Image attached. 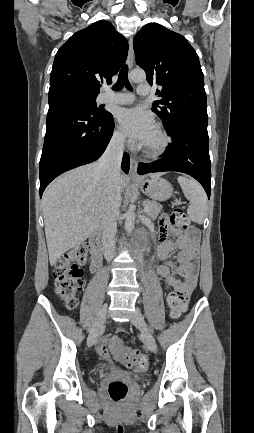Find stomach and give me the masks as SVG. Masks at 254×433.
Returning a JSON list of instances; mask_svg holds the SVG:
<instances>
[{"label": "stomach", "mask_w": 254, "mask_h": 433, "mask_svg": "<svg viewBox=\"0 0 254 433\" xmlns=\"http://www.w3.org/2000/svg\"><path fill=\"white\" fill-rule=\"evenodd\" d=\"M141 191L157 201H165L172 196L173 188L171 184L160 177H151L138 181Z\"/></svg>", "instance_id": "obj_1"}]
</instances>
